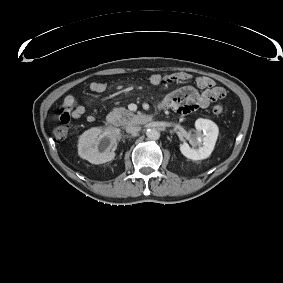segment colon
<instances>
[{"label":"colon","instance_id":"obj_1","mask_svg":"<svg viewBox=\"0 0 283 283\" xmlns=\"http://www.w3.org/2000/svg\"><path fill=\"white\" fill-rule=\"evenodd\" d=\"M227 108L223 105V104H216L213 108H212V113L215 116H222L226 113ZM61 124L58 125L57 127H55L53 133L54 136L57 140H62L64 138H66V136L68 135L69 132V125H68V119L66 116H64L61 119Z\"/></svg>","mask_w":283,"mask_h":283}]
</instances>
